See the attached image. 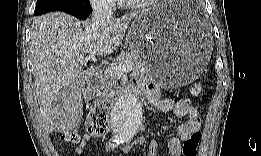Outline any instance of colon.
I'll list each match as a JSON object with an SVG mask.
<instances>
[{"label":"colon","mask_w":261,"mask_h":156,"mask_svg":"<svg viewBox=\"0 0 261 156\" xmlns=\"http://www.w3.org/2000/svg\"><path fill=\"white\" fill-rule=\"evenodd\" d=\"M202 83L195 82L190 87L192 96H198L202 92ZM86 128L89 134L95 137L102 136L109 129V110L107 106H97L88 115ZM60 141L64 143L77 144L80 140V135L75 130L64 131L59 136ZM201 141V133L195 132L183 144L184 156H197L199 144Z\"/></svg>","instance_id":"colon-1"}]
</instances>
